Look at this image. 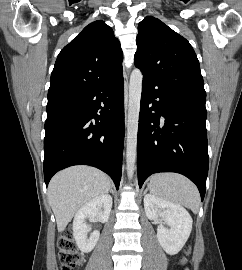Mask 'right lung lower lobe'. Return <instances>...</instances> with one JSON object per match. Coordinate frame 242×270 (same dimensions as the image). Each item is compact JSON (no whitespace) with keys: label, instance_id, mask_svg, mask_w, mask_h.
I'll return each instance as SVG.
<instances>
[{"label":"right lung lower lobe","instance_id":"1","mask_svg":"<svg viewBox=\"0 0 242 270\" xmlns=\"http://www.w3.org/2000/svg\"><path fill=\"white\" fill-rule=\"evenodd\" d=\"M122 73L83 92L48 102L44 138L46 186L59 170L90 165L119 188L124 144Z\"/></svg>","mask_w":242,"mask_h":270}]
</instances>
